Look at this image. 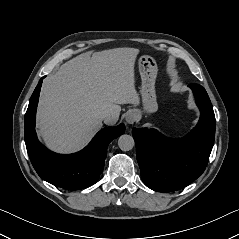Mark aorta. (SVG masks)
<instances>
[{
    "label": "aorta",
    "mask_w": 239,
    "mask_h": 239,
    "mask_svg": "<svg viewBox=\"0 0 239 239\" xmlns=\"http://www.w3.org/2000/svg\"><path fill=\"white\" fill-rule=\"evenodd\" d=\"M134 145L135 142L131 135L123 134L118 139V146L122 151H129Z\"/></svg>",
    "instance_id": "aorta-1"
}]
</instances>
